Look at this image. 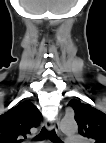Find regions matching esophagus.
Masks as SVG:
<instances>
[{"mask_svg": "<svg viewBox=\"0 0 106 143\" xmlns=\"http://www.w3.org/2000/svg\"><path fill=\"white\" fill-rule=\"evenodd\" d=\"M47 128L49 131H52L54 129L58 135H61L58 119L54 122H49Z\"/></svg>", "mask_w": 106, "mask_h": 143, "instance_id": "1", "label": "esophagus"}]
</instances>
